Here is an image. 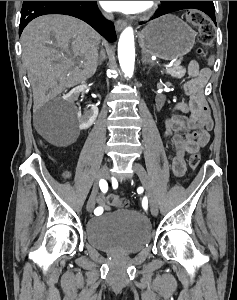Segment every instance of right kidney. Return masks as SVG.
Instances as JSON below:
<instances>
[{"instance_id": "ca27d5eb", "label": "right kidney", "mask_w": 237, "mask_h": 300, "mask_svg": "<svg viewBox=\"0 0 237 300\" xmlns=\"http://www.w3.org/2000/svg\"><path fill=\"white\" fill-rule=\"evenodd\" d=\"M85 89H88L87 85H79V87H75V89H72L67 97V101L69 103H74V101H77L79 99L80 93H84ZM98 107H91V109H87V111H84L83 115L80 111V109H77V119L79 123V129H89L91 125H93L94 121H96L98 117Z\"/></svg>"}]
</instances>
